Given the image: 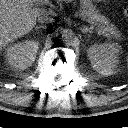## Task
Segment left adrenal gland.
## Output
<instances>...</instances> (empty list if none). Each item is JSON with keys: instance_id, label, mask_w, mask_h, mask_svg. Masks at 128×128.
Returning a JSON list of instances; mask_svg holds the SVG:
<instances>
[{"instance_id": "a2214340", "label": "left adrenal gland", "mask_w": 128, "mask_h": 128, "mask_svg": "<svg viewBox=\"0 0 128 128\" xmlns=\"http://www.w3.org/2000/svg\"><path fill=\"white\" fill-rule=\"evenodd\" d=\"M81 32L83 33H92V29L91 28H88L87 26H83L80 28Z\"/></svg>"}]
</instances>
